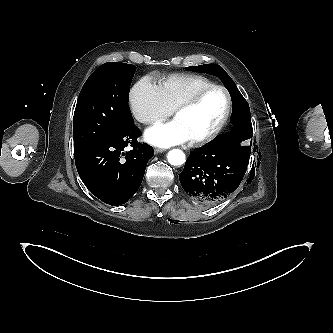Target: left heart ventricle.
<instances>
[{
	"instance_id": "obj_1",
	"label": "left heart ventricle",
	"mask_w": 333,
	"mask_h": 333,
	"mask_svg": "<svg viewBox=\"0 0 333 333\" xmlns=\"http://www.w3.org/2000/svg\"><path fill=\"white\" fill-rule=\"evenodd\" d=\"M227 100L220 90L208 93L195 107L179 113L177 120L190 140L200 138L211 132L221 121Z\"/></svg>"
}]
</instances>
